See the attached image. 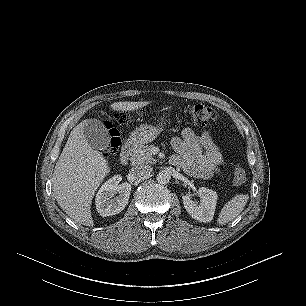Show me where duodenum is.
I'll return each mask as SVG.
<instances>
[{
    "label": "duodenum",
    "mask_w": 306,
    "mask_h": 306,
    "mask_svg": "<svg viewBox=\"0 0 306 306\" xmlns=\"http://www.w3.org/2000/svg\"><path fill=\"white\" fill-rule=\"evenodd\" d=\"M134 147H135V144L133 141H127L123 145L121 152H120V157H119L120 163L122 165H126L128 163V160L134 150Z\"/></svg>",
    "instance_id": "obj_1"
}]
</instances>
